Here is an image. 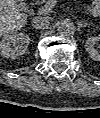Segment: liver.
<instances>
[{
	"label": "liver",
	"mask_w": 100,
	"mask_h": 118,
	"mask_svg": "<svg viewBox=\"0 0 100 118\" xmlns=\"http://www.w3.org/2000/svg\"><path fill=\"white\" fill-rule=\"evenodd\" d=\"M16 1L25 0H0L1 38L20 30L27 22V15L20 12V6Z\"/></svg>",
	"instance_id": "obj_1"
}]
</instances>
